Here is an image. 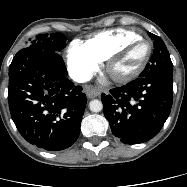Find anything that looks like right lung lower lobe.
Masks as SVG:
<instances>
[{"mask_svg": "<svg viewBox=\"0 0 187 187\" xmlns=\"http://www.w3.org/2000/svg\"><path fill=\"white\" fill-rule=\"evenodd\" d=\"M8 102L24 139L59 151L77 140L87 98L82 87L67 78L59 53L25 47L9 66Z\"/></svg>", "mask_w": 187, "mask_h": 187, "instance_id": "1", "label": "right lung lower lobe"}]
</instances>
